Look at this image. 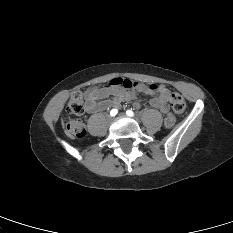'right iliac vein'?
Segmentation results:
<instances>
[{"instance_id": "1", "label": "right iliac vein", "mask_w": 233, "mask_h": 233, "mask_svg": "<svg viewBox=\"0 0 233 233\" xmlns=\"http://www.w3.org/2000/svg\"><path fill=\"white\" fill-rule=\"evenodd\" d=\"M108 120H112V118L109 117Z\"/></svg>"}]
</instances>
